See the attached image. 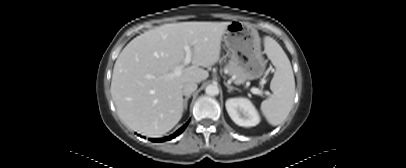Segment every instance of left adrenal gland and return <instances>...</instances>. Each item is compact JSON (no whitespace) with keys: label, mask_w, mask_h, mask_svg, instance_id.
I'll list each match as a JSON object with an SVG mask.
<instances>
[{"label":"left adrenal gland","mask_w":406,"mask_h":168,"mask_svg":"<svg viewBox=\"0 0 406 168\" xmlns=\"http://www.w3.org/2000/svg\"><path fill=\"white\" fill-rule=\"evenodd\" d=\"M224 85L228 88V92L230 93L232 90H238L237 88L230 86L228 83L224 81Z\"/></svg>","instance_id":"a2214340"}]
</instances>
